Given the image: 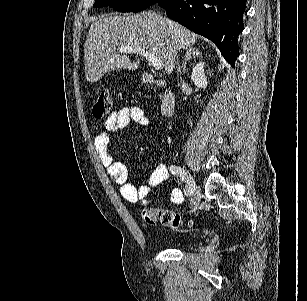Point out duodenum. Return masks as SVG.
<instances>
[{"label":"duodenum","mask_w":307,"mask_h":301,"mask_svg":"<svg viewBox=\"0 0 307 301\" xmlns=\"http://www.w3.org/2000/svg\"><path fill=\"white\" fill-rule=\"evenodd\" d=\"M145 79L149 82H155L162 86L163 94L161 99V113L165 117H171L175 108V96L168 88L164 81L154 80L151 76H146Z\"/></svg>","instance_id":"410a0bca"}]
</instances>
